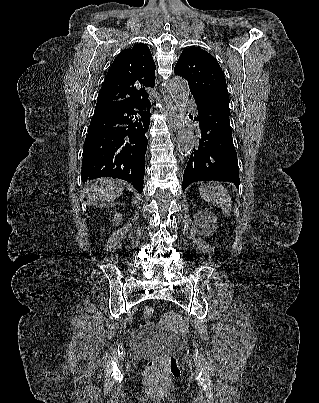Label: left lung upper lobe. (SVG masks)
I'll return each mask as SVG.
<instances>
[{"instance_id":"1","label":"left lung upper lobe","mask_w":319,"mask_h":403,"mask_svg":"<svg viewBox=\"0 0 319 403\" xmlns=\"http://www.w3.org/2000/svg\"><path fill=\"white\" fill-rule=\"evenodd\" d=\"M174 72L187 79L193 97L229 100L226 80L220 65L203 49L195 46L185 49Z\"/></svg>"}]
</instances>
